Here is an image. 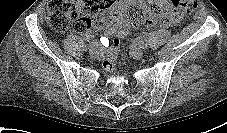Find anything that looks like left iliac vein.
<instances>
[{"label":"left iliac vein","instance_id":"1","mask_svg":"<svg viewBox=\"0 0 227 133\" xmlns=\"http://www.w3.org/2000/svg\"><path fill=\"white\" fill-rule=\"evenodd\" d=\"M130 54H131L132 57H134V58H136V59H140V58L143 57L144 52H143L142 49L133 46V47H131V49H130Z\"/></svg>","mask_w":227,"mask_h":133}]
</instances>
